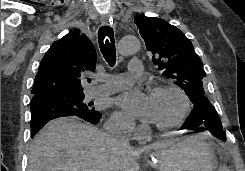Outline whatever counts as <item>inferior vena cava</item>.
Listing matches in <instances>:
<instances>
[{
	"mask_svg": "<svg viewBox=\"0 0 245 171\" xmlns=\"http://www.w3.org/2000/svg\"><path fill=\"white\" fill-rule=\"evenodd\" d=\"M104 129L114 136L115 140L124 147H129L130 133L125 123L104 125Z\"/></svg>",
	"mask_w": 245,
	"mask_h": 171,
	"instance_id": "inferior-vena-cava-1",
	"label": "inferior vena cava"
}]
</instances>
